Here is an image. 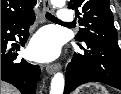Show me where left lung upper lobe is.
Returning <instances> with one entry per match:
<instances>
[{
  "instance_id": "obj_1",
  "label": "left lung upper lobe",
  "mask_w": 121,
  "mask_h": 94,
  "mask_svg": "<svg viewBox=\"0 0 121 94\" xmlns=\"http://www.w3.org/2000/svg\"><path fill=\"white\" fill-rule=\"evenodd\" d=\"M69 9L76 11L79 28L76 40H100L118 44L109 0H69Z\"/></svg>"
}]
</instances>
